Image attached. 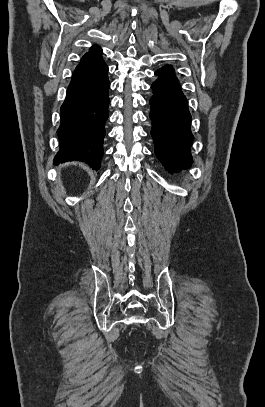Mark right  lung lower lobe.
<instances>
[{
    "instance_id": "1",
    "label": "right lung lower lobe",
    "mask_w": 265,
    "mask_h": 407,
    "mask_svg": "<svg viewBox=\"0 0 265 407\" xmlns=\"http://www.w3.org/2000/svg\"><path fill=\"white\" fill-rule=\"evenodd\" d=\"M107 72L101 52L83 56L75 68L61 106L57 131L60 150L54 163L75 160L87 163L94 170L100 168L110 103Z\"/></svg>"
}]
</instances>
